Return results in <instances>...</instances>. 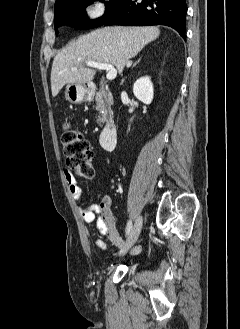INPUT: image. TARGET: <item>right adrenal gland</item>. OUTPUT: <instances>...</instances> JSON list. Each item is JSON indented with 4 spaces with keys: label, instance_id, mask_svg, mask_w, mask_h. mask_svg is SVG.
<instances>
[{
    "label": "right adrenal gland",
    "instance_id": "right-adrenal-gland-1",
    "mask_svg": "<svg viewBox=\"0 0 240 329\" xmlns=\"http://www.w3.org/2000/svg\"><path fill=\"white\" fill-rule=\"evenodd\" d=\"M139 61H140V59H139V60H138V61H137V62H136L134 65H133V67H135V66H136V64H137V63H139Z\"/></svg>",
    "mask_w": 240,
    "mask_h": 329
}]
</instances>
